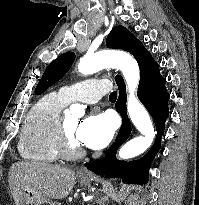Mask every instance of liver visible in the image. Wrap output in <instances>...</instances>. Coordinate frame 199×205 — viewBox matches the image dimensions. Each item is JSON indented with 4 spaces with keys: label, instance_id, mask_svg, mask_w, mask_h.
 <instances>
[{
    "label": "liver",
    "instance_id": "liver-1",
    "mask_svg": "<svg viewBox=\"0 0 199 205\" xmlns=\"http://www.w3.org/2000/svg\"><path fill=\"white\" fill-rule=\"evenodd\" d=\"M16 205H21L23 190L33 188L48 199H62L72 193L76 176L71 169L42 162H16L8 173Z\"/></svg>",
    "mask_w": 199,
    "mask_h": 205
}]
</instances>
